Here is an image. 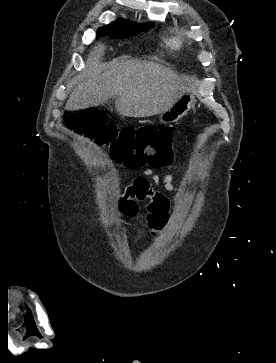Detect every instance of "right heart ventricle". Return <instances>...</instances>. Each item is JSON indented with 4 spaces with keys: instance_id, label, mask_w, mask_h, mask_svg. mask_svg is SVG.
<instances>
[{
    "instance_id": "1",
    "label": "right heart ventricle",
    "mask_w": 276,
    "mask_h": 363,
    "mask_svg": "<svg viewBox=\"0 0 276 363\" xmlns=\"http://www.w3.org/2000/svg\"><path fill=\"white\" fill-rule=\"evenodd\" d=\"M178 42H179V41H178L177 39H172V40H171V43H172V44H178Z\"/></svg>"
}]
</instances>
